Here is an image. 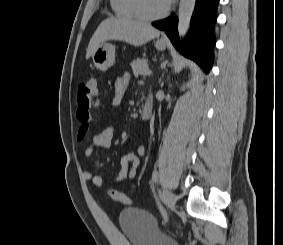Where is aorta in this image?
I'll list each match as a JSON object with an SVG mask.
<instances>
[{
    "mask_svg": "<svg viewBox=\"0 0 283 245\" xmlns=\"http://www.w3.org/2000/svg\"><path fill=\"white\" fill-rule=\"evenodd\" d=\"M196 0H180L178 9V32L182 38L188 31Z\"/></svg>",
    "mask_w": 283,
    "mask_h": 245,
    "instance_id": "obj_1",
    "label": "aorta"
}]
</instances>
